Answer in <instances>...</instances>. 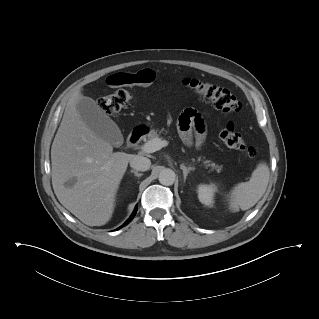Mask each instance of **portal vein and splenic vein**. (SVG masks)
Masks as SVG:
<instances>
[{"label": "portal vein and splenic vein", "mask_w": 319, "mask_h": 319, "mask_svg": "<svg viewBox=\"0 0 319 319\" xmlns=\"http://www.w3.org/2000/svg\"><path fill=\"white\" fill-rule=\"evenodd\" d=\"M167 145H168V142L166 140H161L160 138H154V139L146 142L142 146V151L144 153H153V152H156Z\"/></svg>", "instance_id": "18ae733b"}]
</instances>
